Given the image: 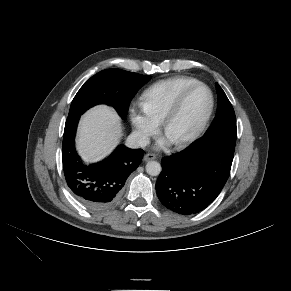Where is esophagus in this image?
I'll list each match as a JSON object with an SVG mask.
<instances>
[{
  "instance_id": "esophagus-1",
  "label": "esophagus",
  "mask_w": 291,
  "mask_h": 291,
  "mask_svg": "<svg viewBox=\"0 0 291 291\" xmlns=\"http://www.w3.org/2000/svg\"><path fill=\"white\" fill-rule=\"evenodd\" d=\"M143 159H144V161L147 162V161L156 159V156L153 153H147V154L144 155Z\"/></svg>"
}]
</instances>
